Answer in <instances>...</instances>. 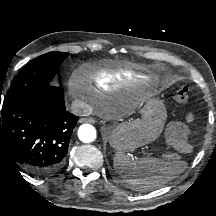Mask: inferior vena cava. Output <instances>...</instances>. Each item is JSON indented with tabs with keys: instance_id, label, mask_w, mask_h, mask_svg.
Instances as JSON below:
<instances>
[{
	"instance_id": "1",
	"label": "inferior vena cava",
	"mask_w": 216,
	"mask_h": 216,
	"mask_svg": "<svg viewBox=\"0 0 216 216\" xmlns=\"http://www.w3.org/2000/svg\"><path fill=\"white\" fill-rule=\"evenodd\" d=\"M71 111L73 114L78 116H84L92 112L91 106L86 104L85 102L76 99L71 104Z\"/></svg>"
}]
</instances>
